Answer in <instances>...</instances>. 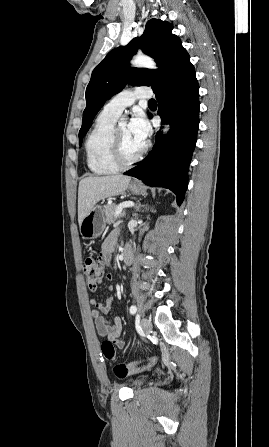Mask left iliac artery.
<instances>
[{"instance_id":"1","label":"left iliac artery","mask_w":269,"mask_h":447,"mask_svg":"<svg viewBox=\"0 0 269 447\" xmlns=\"http://www.w3.org/2000/svg\"><path fill=\"white\" fill-rule=\"evenodd\" d=\"M137 312V308H136V306L135 305H132L131 307H130V313L131 314H135ZM138 317H140L139 315H137Z\"/></svg>"}]
</instances>
